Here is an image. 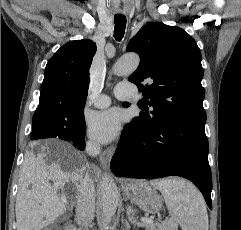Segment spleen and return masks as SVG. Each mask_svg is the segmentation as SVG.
<instances>
[{"label": "spleen", "mask_w": 241, "mask_h": 230, "mask_svg": "<svg viewBox=\"0 0 241 230\" xmlns=\"http://www.w3.org/2000/svg\"><path fill=\"white\" fill-rule=\"evenodd\" d=\"M163 195L172 219L182 230H208V215L202 194L190 182L180 178L150 181Z\"/></svg>", "instance_id": "obj_1"}]
</instances>
